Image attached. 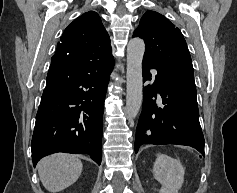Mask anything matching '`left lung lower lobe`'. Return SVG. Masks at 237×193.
I'll use <instances>...</instances> for the list:
<instances>
[{"label":"left lung lower lobe","instance_id":"0a47b994","mask_svg":"<svg viewBox=\"0 0 237 193\" xmlns=\"http://www.w3.org/2000/svg\"><path fill=\"white\" fill-rule=\"evenodd\" d=\"M150 68L156 69L157 74L154 83L143 88L135 152L142 144H178L191 146L204 156L194 80L162 71L143 60V82L151 80ZM158 95L160 100H156Z\"/></svg>","mask_w":237,"mask_h":193}]
</instances>
